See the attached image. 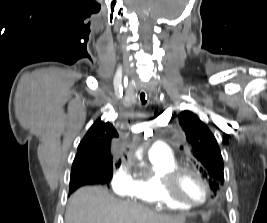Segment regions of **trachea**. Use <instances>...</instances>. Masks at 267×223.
<instances>
[{"label":"trachea","instance_id":"trachea-1","mask_svg":"<svg viewBox=\"0 0 267 223\" xmlns=\"http://www.w3.org/2000/svg\"><path fill=\"white\" fill-rule=\"evenodd\" d=\"M139 98L142 104H146L147 100H146V93L144 91H141L139 93Z\"/></svg>","mask_w":267,"mask_h":223}]
</instances>
